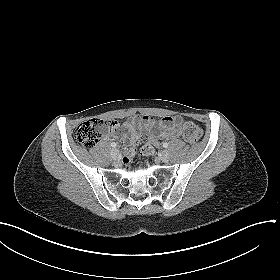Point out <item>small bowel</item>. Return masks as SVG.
<instances>
[{"instance_id":"1","label":"small bowel","mask_w":280,"mask_h":280,"mask_svg":"<svg viewBox=\"0 0 280 280\" xmlns=\"http://www.w3.org/2000/svg\"><path fill=\"white\" fill-rule=\"evenodd\" d=\"M180 117H164L156 121L151 115L136 116L124 123L125 134L123 139L128 146L125 156L132 157L136 149L133 147L138 139L137 126H140L149 135V142L147 144L156 147L160 141L164 139H174L182 136V131L179 127ZM159 127L161 130L156 133L153 129Z\"/></svg>"}]
</instances>
